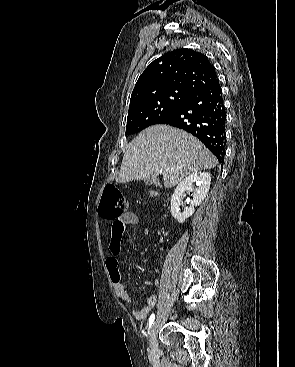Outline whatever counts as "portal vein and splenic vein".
I'll use <instances>...</instances> for the list:
<instances>
[{
  "instance_id": "portal-vein-and-splenic-vein-1",
  "label": "portal vein and splenic vein",
  "mask_w": 295,
  "mask_h": 367,
  "mask_svg": "<svg viewBox=\"0 0 295 367\" xmlns=\"http://www.w3.org/2000/svg\"><path fill=\"white\" fill-rule=\"evenodd\" d=\"M166 171L161 170V173H165Z\"/></svg>"
}]
</instances>
